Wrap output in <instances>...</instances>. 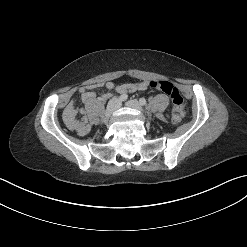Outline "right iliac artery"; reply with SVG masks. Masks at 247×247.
Masks as SVG:
<instances>
[{
    "mask_svg": "<svg viewBox=\"0 0 247 247\" xmlns=\"http://www.w3.org/2000/svg\"><path fill=\"white\" fill-rule=\"evenodd\" d=\"M128 98V95L123 93L119 96V101H125Z\"/></svg>",
    "mask_w": 247,
    "mask_h": 247,
    "instance_id": "82829eb1",
    "label": "right iliac artery"
}]
</instances>
